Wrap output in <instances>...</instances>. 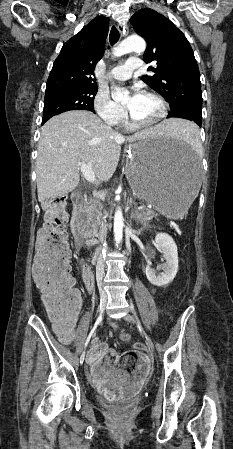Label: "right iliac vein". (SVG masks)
Instances as JSON below:
<instances>
[{
	"label": "right iliac vein",
	"mask_w": 233,
	"mask_h": 449,
	"mask_svg": "<svg viewBox=\"0 0 233 449\" xmlns=\"http://www.w3.org/2000/svg\"><path fill=\"white\" fill-rule=\"evenodd\" d=\"M107 304V298L105 296L101 297V302H100V308H99V314L101 315L106 307ZM85 358V357H84ZM84 358L83 356L80 358V363L82 364L84 362Z\"/></svg>",
	"instance_id": "right-iliac-vein-1"
}]
</instances>
